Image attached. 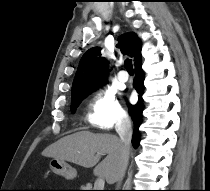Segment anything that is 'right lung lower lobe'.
<instances>
[{
  "mask_svg": "<svg viewBox=\"0 0 210 191\" xmlns=\"http://www.w3.org/2000/svg\"><path fill=\"white\" fill-rule=\"evenodd\" d=\"M135 70L136 76L134 78L133 86L139 94V101L136 105H129V112L132 117L134 123V131L132 137L133 145L137 146L139 139V126L142 121V112H143V102L141 95L143 94V82H144V74L141 69V54H139L135 59Z\"/></svg>",
  "mask_w": 210,
  "mask_h": 191,
  "instance_id": "98d812e1",
  "label": "right lung lower lobe"
}]
</instances>
